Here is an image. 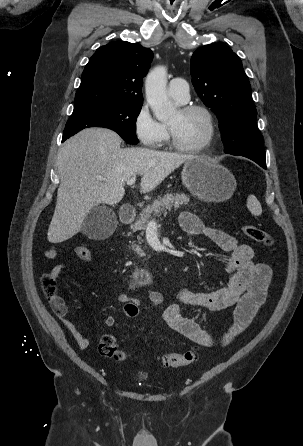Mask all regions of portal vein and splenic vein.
Here are the masks:
<instances>
[{
	"mask_svg": "<svg viewBox=\"0 0 303 446\" xmlns=\"http://www.w3.org/2000/svg\"><path fill=\"white\" fill-rule=\"evenodd\" d=\"M135 181H136V177H132V178H130V179L127 181V185H133V184L135 183ZM149 224H150V225H155L156 222H155V220H151V221L149 222Z\"/></svg>",
	"mask_w": 303,
	"mask_h": 446,
	"instance_id": "obj_1",
	"label": "portal vein and splenic vein"
}]
</instances>
